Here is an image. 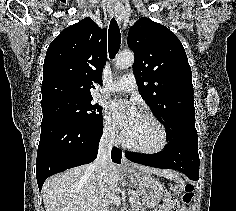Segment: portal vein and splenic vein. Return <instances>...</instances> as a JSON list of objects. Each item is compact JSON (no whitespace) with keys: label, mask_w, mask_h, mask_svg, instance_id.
Here are the masks:
<instances>
[{"label":"portal vein and splenic vein","mask_w":236,"mask_h":211,"mask_svg":"<svg viewBox=\"0 0 236 211\" xmlns=\"http://www.w3.org/2000/svg\"><path fill=\"white\" fill-rule=\"evenodd\" d=\"M129 201H130V202H132V201H133V198H132V197H130V198H129Z\"/></svg>","instance_id":"1"}]
</instances>
